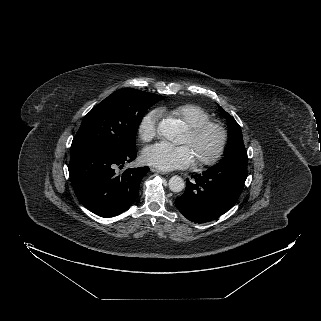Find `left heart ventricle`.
I'll return each instance as SVG.
<instances>
[{
  "instance_id": "left-heart-ventricle-1",
  "label": "left heart ventricle",
  "mask_w": 321,
  "mask_h": 321,
  "mask_svg": "<svg viewBox=\"0 0 321 321\" xmlns=\"http://www.w3.org/2000/svg\"><path fill=\"white\" fill-rule=\"evenodd\" d=\"M218 141V132L214 129H210L197 141H191L186 131L181 142L187 144L191 148L194 158L196 159L198 157L209 156L216 149Z\"/></svg>"
}]
</instances>
